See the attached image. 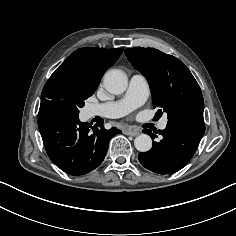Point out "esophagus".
Listing matches in <instances>:
<instances>
[{
  "instance_id": "1",
  "label": "esophagus",
  "mask_w": 236,
  "mask_h": 236,
  "mask_svg": "<svg viewBox=\"0 0 236 236\" xmlns=\"http://www.w3.org/2000/svg\"><path fill=\"white\" fill-rule=\"evenodd\" d=\"M126 135H130V136H137L140 134L139 131H125Z\"/></svg>"
}]
</instances>
